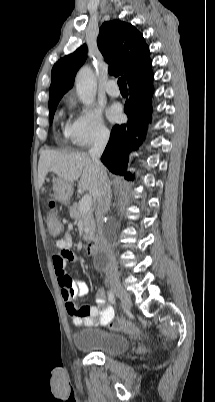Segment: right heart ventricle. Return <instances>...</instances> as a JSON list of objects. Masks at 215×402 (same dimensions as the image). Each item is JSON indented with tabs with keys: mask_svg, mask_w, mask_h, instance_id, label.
<instances>
[{
	"mask_svg": "<svg viewBox=\"0 0 215 402\" xmlns=\"http://www.w3.org/2000/svg\"><path fill=\"white\" fill-rule=\"evenodd\" d=\"M67 128H68V125L65 127V129H64V134H65V136L66 137H68V130H67Z\"/></svg>",
	"mask_w": 215,
	"mask_h": 402,
	"instance_id": "obj_1",
	"label": "right heart ventricle"
}]
</instances>
